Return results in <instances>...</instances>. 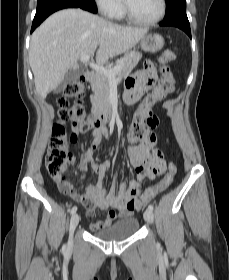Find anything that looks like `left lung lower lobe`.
<instances>
[{
    "label": "left lung lower lobe",
    "instance_id": "obj_1",
    "mask_svg": "<svg viewBox=\"0 0 229 280\" xmlns=\"http://www.w3.org/2000/svg\"><path fill=\"white\" fill-rule=\"evenodd\" d=\"M160 26H174L182 29L191 38L190 24L186 13H179L172 17L164 19Z\"/></svg>",
    "mask_w": 229,
    "mask_h": 280
}]
</instances>
